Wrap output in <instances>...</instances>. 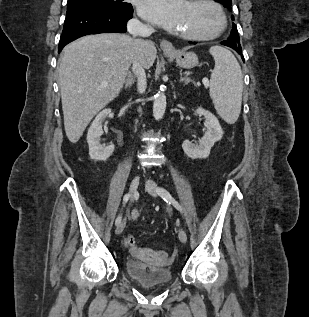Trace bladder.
<instances>
[{"label":"bladder","instance_id":"1","mask_svg":"<svg viewBox=\"0 0 309 317\" xmlns=\"http://www.w3.org/2000/svg\"><path fill=\"white\" fill-rule=\"evenodd\" d=\"M124 269L129 278L144 288L166 285L173 279L170 267L148 264L132 257L125 260Z\"/></svg>","mask_w":309,"mask_h":317}]
</instances>
